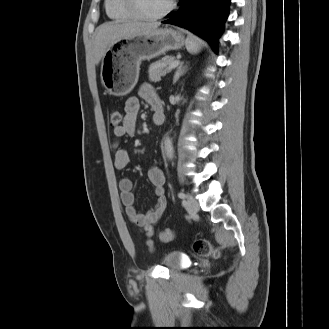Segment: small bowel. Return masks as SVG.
Returning <instances> with one entry per match:
<instances>
[{
	"label": "small bowel",
	"mask_w": 329,
	"mask_h": 329,
	"mask_svg": "<svg viewBox=\"0 0 329 329\" xmlns=\"http://www.w3.org/2000/svg\"><path fill=\"white\" fill-rule=\"evenodd\" d=\"M139 95L153 109L161 107V101L151 86H142ZM139 110V98L135 96L128 98L124 106V121L122 125L118 127H113V159L114 165L117 169H124L129 163V155L126 150L119 146V139L124 136L135 135ZM147 175L154 187V193L157 197V201L154 208H152L146 213L139 212L135 207L133 182L130 178H121L119 180L118 186L120 190V199L125 207V213L128 219L142 230L143 234L146 237L147 246L150 249H153L154 243L152 237L154 234V226L158 222L166 208V199L164 197L165 176L158 165L151 166L147 172Z\"/></svg>",
	"instance_id": "small-bowel-1"
}]
</instances>
